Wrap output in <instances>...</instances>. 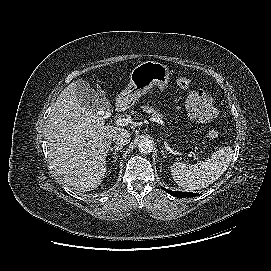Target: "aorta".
Wrapping results in <instances>:
<instances>
[{"instance_id":"aorta-1","label":"aorta","mask_w":271,"mask_h":271,"mask_svg":"<svg viewBox=\"0 0 271 271\" xmlns=\"http://www.w3.org/2000/svg\"><path fill=\"white\" fill-rule=\"evenodd\" d=\"M138 149L142 154H149L153 150V142L148 138H142L138 142Z\"/></svg>"}]
</instances>
